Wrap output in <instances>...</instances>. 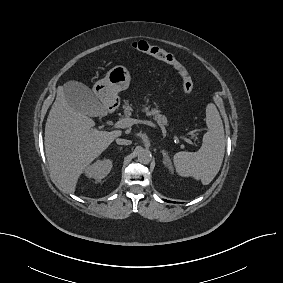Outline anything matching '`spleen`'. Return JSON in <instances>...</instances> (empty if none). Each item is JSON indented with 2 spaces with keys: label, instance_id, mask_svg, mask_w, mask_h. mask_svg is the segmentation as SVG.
<instances>
[{
  "label": "spleen",
  "instance_id": "spleen-1",
  "mask_svg": "<svg viewBox=\"0 0 283 283\" xmlns=\"http://www.w3.org/2000/svg\"><path fill=\"white\" fill-rule=\"evenodd\" d=\"M208 131L203 135L202 146L197 152H178L173 161L176 172L183 177H194L203 185L209 184L219 172L225 153L224 127L213 103L206 107Z\"/></svg>",
  "mask_w": 283,
  "mask_h": 283
}]
</instances>
